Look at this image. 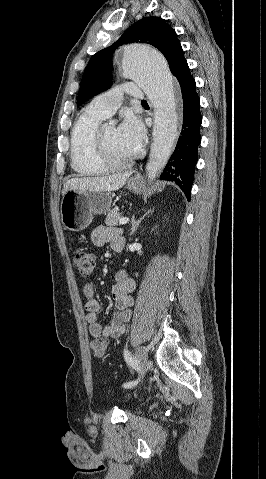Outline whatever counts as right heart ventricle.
<instances>
[{
	"label": "right heart ventricle",
	"instance_id": "right-heart-ventricle-1",
	"mask_svg": "<svg viewBox=\"0 0 266 479\" xmlns=\"http://www.w3.org/2000/svg\"><path fill=\"white\" fill-rule=\"evenodd\" d=\"M103 119V116L87 108L72 129L71 165L79 175L99 176L108 172L96 155V132Z\"/></svg>",
	"mask_w": 266,
	"mask_h": 479
}]
</instances>
